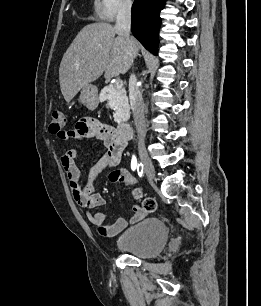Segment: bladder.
I'll return each mask as SVG.
<instances>
[{"instance_id":"31cf9c89","label":"bladder","mask_w":261,"mask_h":306,"mask_svg":"<svg viewBox=\"0 0 261 306\" xmlns=\"http://www.w3.org/2000/svg\"><path fill=\"white\" fill-rule=\"evenodd\" d=\"M169 238L165 222L156 217L145 218L126 228L115 240L116 248L139 258L158 255Z\"/></svg>"}]
</instances>
